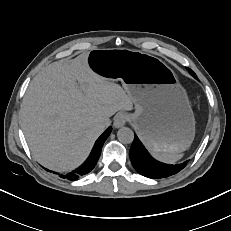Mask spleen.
<instances>
[{
	"label": "spleen",
	"instance_id": "3e777b00",
	"mask_svg": "<svg viewBox=\"0 0 231 231\" xmlns=\"http://www.w3.org/2000/svg\"><path fill=\"white\" fill-rule=\"evenodd\" d=\"M154 157L164 163L174 164L183 157V154L154 153Z\"/></svg>",
	"mask_w": 231,
	"mask_h": 231
}]
</instances>
